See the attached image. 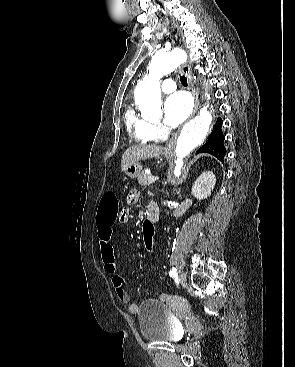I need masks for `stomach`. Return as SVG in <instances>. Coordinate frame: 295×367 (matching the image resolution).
Listing matches in <instances>:
<instances>
[{
	"label": "stomach",
	"mask_w": 295,
	"mask_h": 367,
	"mask_svg": "<svg viewBox=\"0 0 295 367\" xmlns=\"http://www.w3.org/2000/svg\"><path fill=\"white\" fill-rule=\"evenodd\" d=\"M165 156H169V154L165 153ZM142 170V166L141 164H139L138 162L131 164L130 166H128L125 170V174L130 177V178H136L140 175Z\"/></svg>",
	"instance_id": "obj_1"
}]
</instances>
